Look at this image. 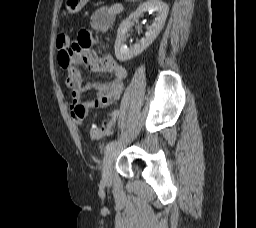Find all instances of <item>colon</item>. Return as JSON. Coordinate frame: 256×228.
I'll list each match as a JSON object with an SVG mask.
<instances>
[{
  "label": "colon",
  "mask_w": 256,
  "mask_h": 228,
  "mask_svg": "<svg viewBox=\"0 0 256 228\" xmlns=\"http://www.w3.org/2000/svg\"><path fill=\"white\" fill-rule=\"evenodd\" d=\"M70 46V39L67 35L61 34L57 37V47L58 49H68ZM108 125L107 124H96L93 123L90 127V136L94 139L100 138L105 131L107 130Z\"/></svg>",
  "instance_id": "5ec220e1"
}]
</instances>
